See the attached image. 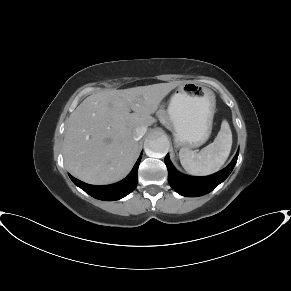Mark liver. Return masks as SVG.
Listing matches in <instances>:
<instances>
[{
	"label": "liver",
	"instance_id": "1",
	"mask_svg": "<svg viewBox=\"0 0 291 291\" xmlns=\"http://www.w3.org/2000/svg\"><path fill=\"white\" fill-rule=\"evenodd\" d=\"M179 84L105 90L85 98L71 113L65 131L63 155L70 173L93 185L126 177L139 153L133 131L155 122L151 115Z\"/></svg>",
	"mask_w": 291,
	"mask_h": 291
}]
</instances>
